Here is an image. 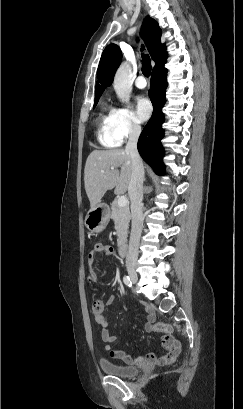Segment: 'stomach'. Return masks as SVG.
<instances>
[{
  "mask_svg": "<svg viewBox=\"0 0 243 409\" xmlns=\"http://www.w3.org/2000/svg\"><path fill=\"white\" fill-rule=\"evenodd\" d=\"M110 220V209L107 204L99 203L91 208L85 217V226L92 233L102 232Z\"/></svg>",
  "mask_w": 243,
  "mask_h": 409,
  "instance_id": "0dacf381",
  "label": "stomach"
}]
</instances>
